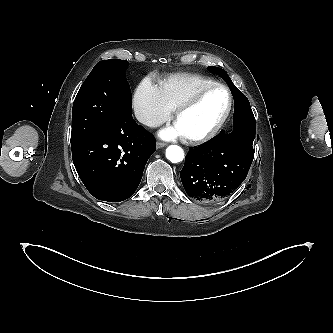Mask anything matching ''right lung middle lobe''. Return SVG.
Segmentation results:
<instances>
[{
  "mask_svg": "<svg viewBox=\"0 0 333 333\" xmlns=\"http://www.w3.org/2000/svg\"><path fill=\"white\" fill-rule=\"evenodd\" d=\"M129 63L120 59L98 62L74 100L71 147L97 134L121 111L132 108V95L125 77Z\"/></svg>",
  "mask_w": 333,
  "mask_h": 333,
  "instance_id": "dd1d6c3e",
  "label": "right lung middle lobe"
}]
</instances>
